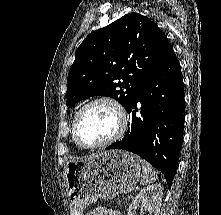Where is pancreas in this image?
I'll return each mask as SVG.
<instances>
[{"mask_svg": "<svg viewBox=\"0 0 221 215\" xmlns=\"http://www.w3.org/2000/svg\"><path fill=\"white\" fill-rule=\"evenodd\" d=\"M125 203H127V201H122V200H120V199H117V204L119 205V206H122L123 204H125Z\"/></svg>", "mask_w": 221, "mask_h": 215, "instance_id": "obj_1", "label": "pancreas"}]
</instances>
